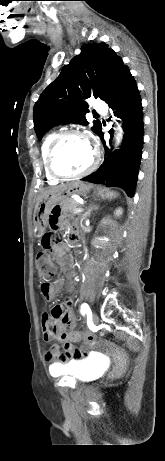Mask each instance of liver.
<instances>
[{
  "mask_svg": "<svg viewBox=\"0 0 165 461\" xmlns=\"http://www.w3.org/2000/svg\"><path fill=\"white\" fill-rule=\"evenodd\" d=\"M65 187H56V188H52V189H49V190H46L44 192L41 193V195L38 197V202L35 206V210H37L38 208V205H39V202L47 195L49 194H53V193H57V192H60L62 190H64Z\"/></svg>",
  "mask_w": 165,
  "mask_h": 461,
  "instance_id": "liver-1",
  "label": "liver"
}]
</instances>
